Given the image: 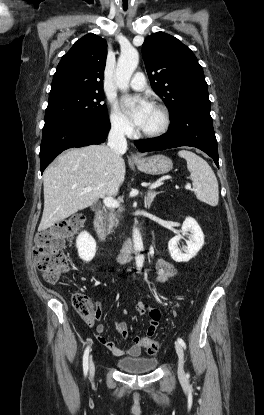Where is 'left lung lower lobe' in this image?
I'll return each mask as SVG.
<instances>
[{
	"label": "left lung lower lobe",
	"mask_w": 264,
	"mask_h": 415,
	"mask_svg": "<svg viewBox=\"0 0 264 415\" xmlns=\"http://www.w3.org/2000/svg\"><path fill=\"white\" fill-rule=\"evenodd\" d=\"M210 105H192L172 117L169 130L162 136L136 140L141 152L164 150L179 146L196 147L207 153L218 164L217 140L210 115Z\"/></svg>",
	"instance_id": "0a47b994"
}]
</instances>
